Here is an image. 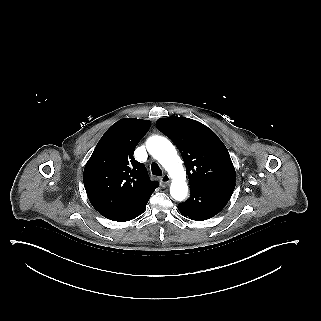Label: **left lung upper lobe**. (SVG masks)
I'll return each mask as SVG.
<instances>
[{"label":"left lung upper lobe","mask_w":321,"mask_h":321,"mask_svg":"<svg viewBox=\"0 0 321 321\" xmlns=\"http://www.w3.org/2000/svg\"><path fill=\"white\" fill-rule=\"evenodd\" d=\"M157 128L180 150L190 186L235 183L229 152L218 136L202 123L185 117L157 120Z\"/></svg>","instance_id":"5c2ea615"}]
</instances>
